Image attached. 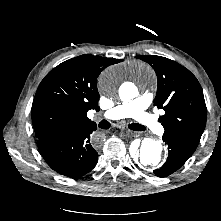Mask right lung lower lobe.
Returning a JSON list of instances; mask_svg holds the SVG:
<instances>
[{"label": "right lung lower lobe", "instance_id": "right-lung-lower-lobe-1", "mask_svg": "<svg viewBox=\"0 0 221 221\" xmlns=\"http://www.w3.org/2000/svg\"><path fill=\"white\" fill-rule=\"evenodd\" d=\"M96 125L67 129L38 139V149L47 164L59 174L78 178L90 172L98 160L94 149Z\"/></svg>", "mask_w": 221, "mask_h": 221}]
</instances>
